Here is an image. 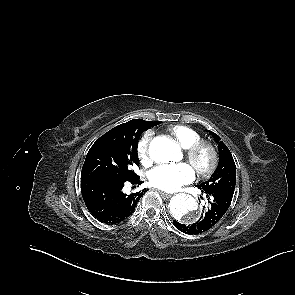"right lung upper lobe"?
Instances as JSON below:
<instances>
[{
  "label": "right lung upper lobe",
  "instance_id": "right-lung-upper-lobe-1",
  "mask_svg": "<svg viewBox=\"0 0 295 295\" xmlns=\"http://www.w3.org/2000/svg\"><path fill=\"white\" fill-rule=\"evenodd\" d=\"M138 120H140V119H133V120H130L129 122H127V123H123V124H121V125H118V126H116L115 128H123V127H126V126H128V125H130V124L135 123V122L138 121Z\"/></svg>",
  "mask_w": 295,
  "mask_h": 295
}]
</instances>
